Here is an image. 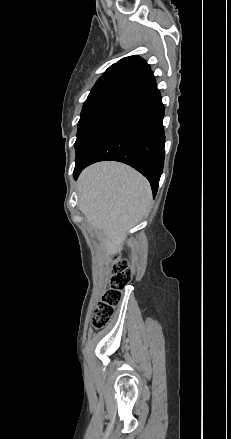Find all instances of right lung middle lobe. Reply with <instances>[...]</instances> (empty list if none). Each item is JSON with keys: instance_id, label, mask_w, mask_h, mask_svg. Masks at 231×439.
Wrapping results in <instances>:
<instances>
[{"instance_id": "1", "label": "right lung middle lobe", "mask_w": 231, "mask_h": 439, "mask_svg": "<svg viewBox=\"0 0 231 439\" xmlns=\"http://www.w3.org/2000/svg\"><path fill=\"white\" fill-rule=\"evenodd\" d=\"M142 110L135 96L122 95L97 99L83 105L75 142L76 161L108 130L138 117Z\"/></svg>"}]
</instances>
